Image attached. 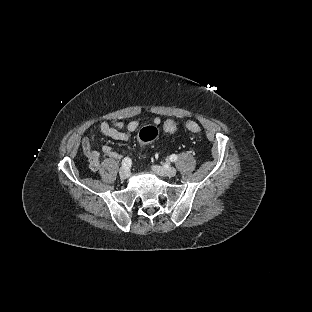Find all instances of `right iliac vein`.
I'll use <instances>...</instances> for the list:
<instances>
[{
  "instance_id": "1",
  "label": "right iliac vein",
  "mask_w": 312,
  "mask_h": 312,
  "mask_svg": "<svg viewBox=\"0 0 312 312\" xmlns=\"http://www.w3.org/2000/svg\"><path fill=\"white\" fill-rule=\"evenodd\" d=\"M119 176L121 179H127L129 177V169L122 167L119 171Z\"/></svg>"
}]
</instances>
